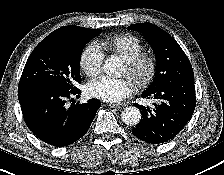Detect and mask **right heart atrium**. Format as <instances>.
<instances>
[{
  "instance_id": "obj_1",
  "label": "right heart atrium",
  "mask_w": 224,
  "mask_h": 175,
  "mask_svg": "<svg viewBox=\"0 0 224 175\" xmlns=\"http://www.w3.org/2000/svg\"><path fill=\"white\" fill-rule=\"evenodd\" d=\"M104 53L97 43L88 44L81 53L80 67L89 77L98 75L102 68Z\"/></svg>"
}]
</instances>
